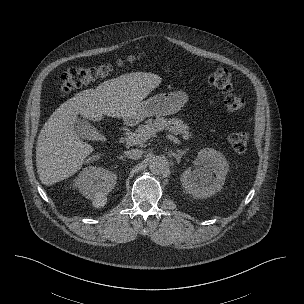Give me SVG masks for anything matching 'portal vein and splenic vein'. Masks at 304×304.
<instances>
[{"label": "portal vein and splenic vein", "instance_id": "obj_1", "mask_svg": "<svg viewBox=\"0 0 304 304\" xmlns=\"http://www.w3.org/2000/svg\"><path fill=\"white\" fill-rule=\"evenodd\" d=\"M167 137H168V139H170V141L174 142L175 144L181 143V141L177 137H175L171 134H167ZM124 141L126 142L127 145H135V144H137L138 139L135 136V134H131V135L125 137Z\"/></svg>", "mask_w": 304, "mask_h": 304}]
</instances>
